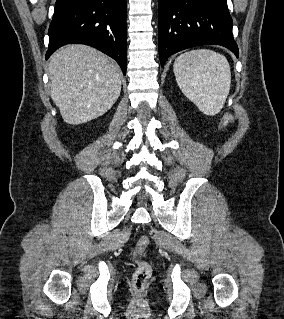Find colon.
<instances>
[{"mask_svg": "<svg viewBox=\"0 0 284 319\" xmlns=\"http://www.w3.org/2000/svg\"><path fill=\"white\" fill-rule=\"evenodd\" d=\"M233 119L234 116L231 113L225 114L221 122V128L225 129L233 122ZM148 245L149 238L147 236H142L138 239L133 251V255L137 265L135 273L133 275V287L137 293L142 292L151 275L150 265L147 262L137 258L147 249Z\"/></svg>", "mask_w": 284, "mask_h": 319, "instance_id": "5ec220e1", "label": "colon"}]
</instances>
